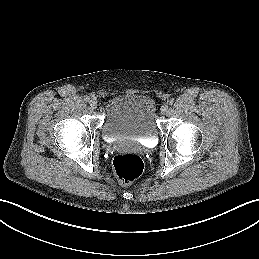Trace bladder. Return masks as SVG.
I'll return each instance as SVG.
<instances>
[{"mask_svg": "<svg viewBox=\"0 0 259 259\" xmlns=\"http://www.w3.org/2000/svg\"><path fill=\"white\" fill-rule=\"evenodd\" d=\"M101 133L108 141L155 140L158 135L155 102L147 95L136 93L111 97L105 104Z\"/></svg>", "mask_w": 259, "mask_h": 259, "instance_id": "1", "label": "bladder"}]
</instances>
